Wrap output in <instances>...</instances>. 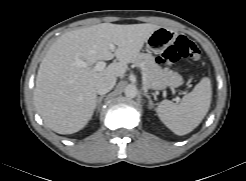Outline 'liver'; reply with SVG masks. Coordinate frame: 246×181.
Listing matches in <instances>:
<instances>
[{
	"instance_id": "1",
	"label": "liver",
	"mask_w": 246,
	"mask_h": 181,
	"mask_svg": "<svg viewBox=\"0 0 246 181\" xmlns=\"http://www.w3.org/2000/svg\"><path fill=\"white\" fill-rule=\"evenodd\" d=\"M158 28L149 23H101L61 35L47 51L36 77L34 103L45 125L59 134L83 129L96 108L97 82L106 76L122 77ZM110 44L116 46L114 51ZM113 57L118 62L102 71L95 69V63Z\"/></svg>"
}]
</instances>
